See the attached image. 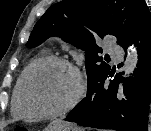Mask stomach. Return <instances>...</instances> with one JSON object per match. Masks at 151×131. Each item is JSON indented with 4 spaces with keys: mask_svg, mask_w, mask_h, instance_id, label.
<instances>
[{
    "mask_svg": "<svg viewBox=\"0 0 151 131\" xmlns=\"http://www.w3.org/2000/svg\"><path fill=\"white\" fill-rule=\"evenodd\" d=\"M44 131H82V129L69 122L54 120L44 129Z\"/></svg>",
    "mask_w": 151,
    "mask_h": 131,
    "instance_id": "stomach-1",
    "label": "stomach"
}]
</instances>
